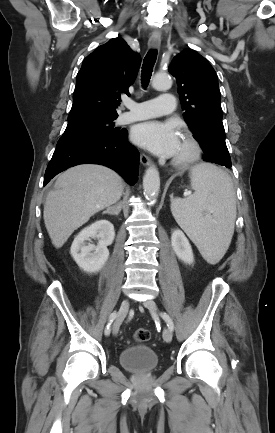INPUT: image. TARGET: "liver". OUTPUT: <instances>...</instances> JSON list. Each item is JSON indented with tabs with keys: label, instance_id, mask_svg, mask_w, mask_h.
Masks as SVG:
<instances>
[{
	"label": "liver",
	"instance_id": "liver-1",
	"mask_svg": "<svg viewBox=\"0 0 275 433\" xmlns=\"http://www.w3.org/2000/svg\"><path fill=\"white\" fill-rule=\"evenodd\" d=\"M123 189V179L101 165L83 164L63 172L44 205V223L52 244L61 248L91 216L116 203Z\"/></svg>",
	"mask_w": 275,
	"mask_h": 433
}]
</instances>
